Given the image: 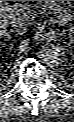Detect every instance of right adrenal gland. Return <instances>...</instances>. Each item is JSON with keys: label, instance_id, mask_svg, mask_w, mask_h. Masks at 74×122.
<instances>
[{"label": "right adrenal gland", "instance_id": "2a0ac1e0", "mask_svg": "<svg viewBox=\"0 0 74 122\" xmlns=\"http://www.w3.org/2000/svg\"><path fill=\"white\" fill-rule=\"evenodd\" d=\"M10 34L19 35V34H22V33H21L20 31L11 30V32H7V33H5L4 35H5V36H9Z\"/></svg>", "mask_w": 74, "mask_h": 122}]
</instances>
